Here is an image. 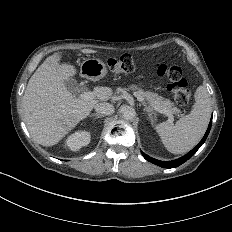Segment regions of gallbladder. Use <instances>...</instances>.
<instances>
[{"instance_id": "bac80fb5", "label": "gallbladder", "mask_w": 232, "mask_h": 232, "mask_svg": "<svg viewBox=\"0 0 232 232\" xmlns=\"http://www.w3.org/2000/svg\"><path fill=\"white\" fill-rule=\"evenodd\" d=\"M65 86L69 91H76L80 88V85L78 83H76V81L74 79H70L65 81Z\"/></svg>"}]
</instances>
